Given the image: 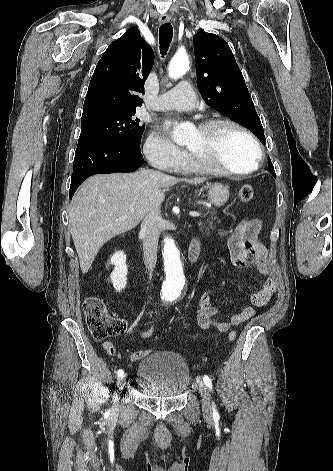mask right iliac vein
<instances>
[{
  "instance_id": "63e3f726",
  "label": "right iliac vein",
  "mask_w": 333,
  "mask_h": 471,
  "mask_svg": "<svg viewBox=\"0 0 333 471\" xmlns=\"http://www.w3.org/2000/svg\"><path fill=\"white\" fill-rule=\"evenodd\" d=\"M125 379H126V374L123 375V376H121V377L119 378L118 384H117L116 387H115V390H116L117 392L120 390V388H121L122 384L124 383Z\"/></svg>"
}]
</instances>
